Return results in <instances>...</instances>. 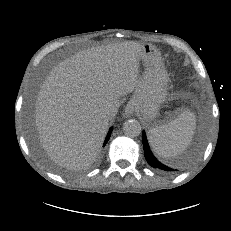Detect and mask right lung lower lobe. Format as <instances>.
I'll return each instance as SVG.
<instances>
[{
	"instance_id": "1",
	"label": "right lung lower lobe",
	"mask_w": 231,
	"mask_h": 231,
	"mask_svg": "<svg viewBox=\"0 0 231 231\" xmlns=\"http://www.w3.org/2000/svg\"><path fill=\"white\" fill-rule=\"evenodd\" d=\"M111 131H112V128L110 129V131H109V133H108V135H107V137H106L105 144L107 143L108 139L110 138V133H111Z\"/></svg>"
}]
</instances>
